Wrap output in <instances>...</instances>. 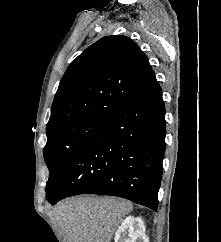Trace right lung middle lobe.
Segmentation results:
<instances>
[{
	"label": "right lung middle lobe",
	"instance_id": "right-lung-middle-lobe-1",
	"mask_svg": "<svg viewBox=\"0 0 221 242\" xmlns=\"http://www.w3.org/2000/svg\"><path fill=\"white\" fill-rule=\"evenodd\" d=\"M102 121L93 118L81 119L47 131L48 140L43 149L44 159L50 173L46 186L47 197L70 159Z\"/></svg>",
	"mask_w": 221,
	"mask_h": 242
}]
</instances>
